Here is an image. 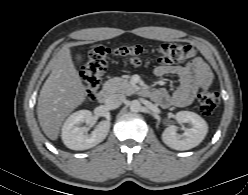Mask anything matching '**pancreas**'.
Returning <instances> with one entry per match:
<instances>
[{"instance_id": "1", "label": "pancreas", "mask_w": 248, "mask_h": 195, "mask_svg": "<svg viewBox=\"0 0 248 195\" xmlns=\"http://www.w3.org/2000/svg\"><path fill=\"white\" fill-rule=\"evenodd\" d=\"M105 87L111 93H122L125 95H131L138 90L136 85L132 84L128 79H124L121 77H114L112 79H109L105 83Z\"/></svg>"}]
</instances>
